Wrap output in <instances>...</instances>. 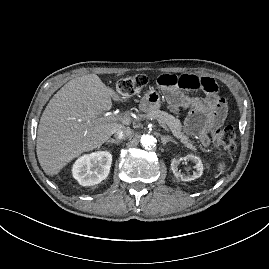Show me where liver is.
<instances>
[{"label":"liver","mask_w":269,"mask_h":269,"mask_svg":"<svg viewBox=\"0 0 269 269\" xmlns=\"http://www.w3.org/2000/svg\"><path fill=\"white\" fill-rule=\"evenodd\" d=\"M112 99L124 102L96 74L74 78L49 101L38 126L36 152L40 166L53 176L83 152L100 147L118 129L130 124L129 112L121 122L101 115Z\"/></svg>","instance_id":"obj_1"}]
</instances>
